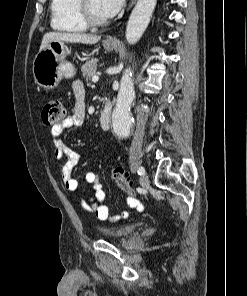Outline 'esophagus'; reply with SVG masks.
I'll return each instance as SVG.
<instances>
[{
    "mask_svg": "<svg viewBox=\"0 0 247 296\" xmlns=\"http://www.w3.org/2000/svg\"><path fill=\"white\" fill-rule=\"evenodd\" d=\"M135 2H136V0H131V2H130V4H129V8H131V7L134 5ZM106 41H107L108 43H114L116 40H115V38H113V37H108V38L106 39Z\"/></svg>",
    "mask_w": 247,
    "mask_h": 296,
    "instance_id": "esophagus-1",
    "label": "esophagus"
}]
</instances>
